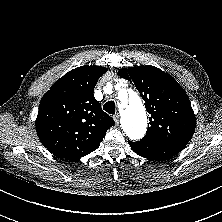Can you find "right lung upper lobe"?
<instances>
[{"mask_svg":"<svg viewBox=\"0 0 222 222\" xmlns=\"http://www.w3.org/2000/svg\"><path fill=\"white\" fill-rule=\"evenodd\" d=\"M106 72L98 66L75 68L43 96L36 131L43 145L58 158L73 161L93 152L114 126L93 94Z\"/></svg>","mask_w":222,"mask_h":222,"instance_id":"right-lung-upper-lobe-1","label":"right lung upper lobe"}]
</instances>
